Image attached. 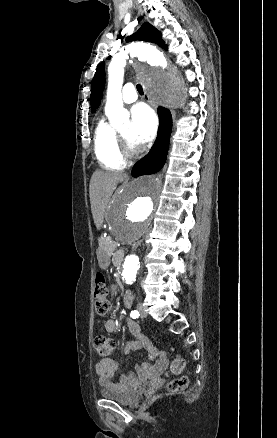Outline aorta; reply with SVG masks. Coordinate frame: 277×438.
I'll use <instances>...</instances> for the list:
<instances>
[{"mask_svg":"<svg viewBox=\"0 0 277 438\" xmlns=\"http://www.w3.org/2000/svg\"><path fill=\"white\" fill-rule=\"evenodd\" d=\"M129 55L141 62L136 67L137 74L146 91L158 102L175 108L181 105L185 95L183 77L168 63L163 53L148 44H130L113 57L108 67L105 113L113 127L129 120L121 94L124 67ZM160 192V178L144 176L135 179L117 194L108 219L111 232L120 243L132 246L149 232L156 216ZM138 269V256L128 254L123 264V280L132 284Z\"/></svg>","mask_w":277,"mask_h":438,"instance_id":"762f6f07","label":"aorta"}]
</instances>
